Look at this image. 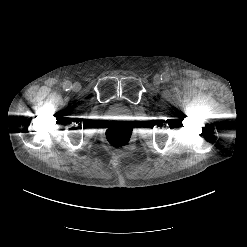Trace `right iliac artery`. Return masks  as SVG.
<instances>
[{"instance_id": "82829eb1", "label": "right iliac artery", "mask_w": 247, "mask_h": 247, "mask_svg": "<svg viewBox=\"0 0 247 247\" xmlns=\"http://www.w3.org/2000/svg\"><path fill=\"white\" fill-rule=\"evenodd\" d=\"M63 88H64L66 91L70 90V89L72 88L71 82H69V81L64 82Z\"/></svg>"}]
</instances>
